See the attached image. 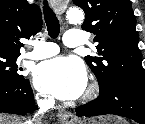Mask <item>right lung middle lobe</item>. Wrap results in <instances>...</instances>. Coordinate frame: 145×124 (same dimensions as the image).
<instances>
[{"label":"right lung middle lobe","instance_id":"right-lung-middle-lobe-1","mask_svg":"<svg viewBox=\"0 0 145 124\" xmlns=\"http://www.w3.org/2000/svg\"><path fill=\"white\" fill-rule=\"evenodd\" d=\"M19 55L9 54L7 52L0 51V76L10 79H22L23 75L19 74L18 66L16 65V59Z\"/></svg>","mask_w":145,"mask_h":124}]
</instances>
